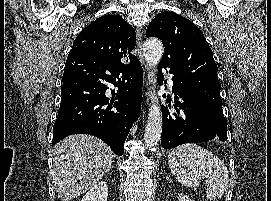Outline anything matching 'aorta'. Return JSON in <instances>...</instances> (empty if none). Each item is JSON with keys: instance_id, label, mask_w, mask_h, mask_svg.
Returning <instances> with one entry per match:
<instances>
[{"instance_id": "1", "label": "aorta", "mask_w": 271, "mask_h": 201, "mask_svg": "<svg viewBox=\"0 0 271 201\" xmlns=\"http://www.w3.org/2000/svg\"><path fill=\"white\" fill-rule=\"evenodd\" d=\"M163 45L157 38H149L144 42L143 54L149 70L153 76L156 66L159 64L163 55ZM162 116L158 104V99L154 92L151 93V107L145 128L144 142L147 146H155L161 137Z\"/></svg>"}]
</instances>
